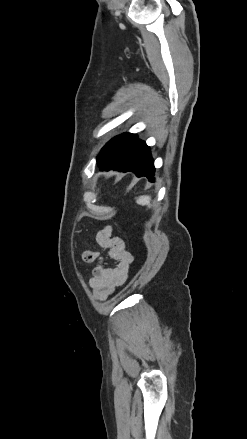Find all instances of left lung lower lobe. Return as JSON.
I'll return each instance as SVG.
<instances>
[{"mask_svg": "<svg viewBox=\"0 0 247 439\" xmlns=\"http://www.w3.org/2000/svg\"><path fill=\"white\" fill-rule=\"evenodd\" d=\"M101 169L109 170L108 167H101ZM119 171H132L137 177L146 176L149 181H154L155 168L153 159L150 154V148L145 142L136 139L124 167Z\"/></svg>", "mask_w": 247, "mask_h": 439, "instance_id": "0a47b994", "label": "left lung lower lobe"}]
</instances>
